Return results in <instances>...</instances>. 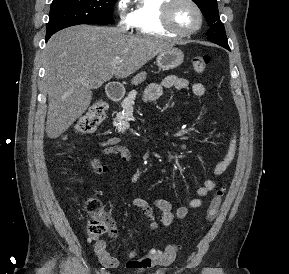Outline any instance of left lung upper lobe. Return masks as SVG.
Instances as JSON below:
<instances>
[{
  "mask_svg": "<svg viewBox=\"0 0 289 274\" xmlns=\"http://www.w3.org/2000/svg\"><path fill=\"white\" fill-rule=\"evenodd\" d=\"M210 25L207 31V39L222 47H229L223 23L220 21L216 0H193Z\"/></svg>",
  "mask_w": 289,
  "mask_h": 274,
  "instance_id": "left-lung-upper-lobe-1",
  "label": "left lung upper lobe"
}]
</instances>
